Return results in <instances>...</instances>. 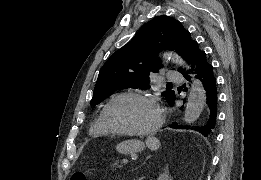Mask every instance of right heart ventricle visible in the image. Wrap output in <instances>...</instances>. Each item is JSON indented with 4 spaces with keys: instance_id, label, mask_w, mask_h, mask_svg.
<instances>
[{
    "instance_id": "obj_1",
    "label": "right heart ventricle",
    "mask_w": 261,
    "mask_h": 180,
    "mask_svg": "<svg viewBox=\"0 0 261 180\" xmlns=\"http://www.w3.org/2000/svg\"><path fill=\"white\" fill-rule=\"evenodd\" d=\"M89 136L99 142H108L117 139L115 136L110 134L105 128L101 113L98 114L89 127Z\"/></svg>"
}]
</instances>
